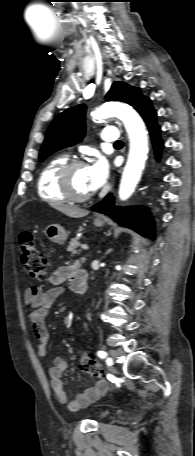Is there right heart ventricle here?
<instances>
[{
  "instance_id": "1",
  "label": "right heart ventricle",
  "mask_w": 195,
  "mask_h": 456,
  "mask_svg": "<svg viewBox=\"0 0 195 456\" xmlns=\"http://www.w3.org/2000/svg\"><path fill=\"white\" fill-rule=\"evenodd\" d=\"M68 162V157L61 155L51 159L41 170L37 180L39 196L47 201L63 202L66 197L58 185L59 170Z\"/></svg>"
}]
</instances>
